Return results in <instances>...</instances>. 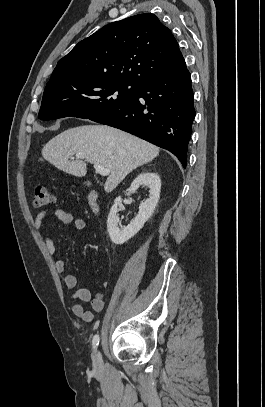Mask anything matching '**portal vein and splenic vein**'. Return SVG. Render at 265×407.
I'll use <instances>...</instances> for the list:
<instances>
[{
    "label": "portal vein and splenic vein",
    "mask_w": 265,
    "mask_h": 407,
    "mask_svg": "<svg viewBox=\"0 0 265 407\" xmlns=\"http://www.w3.org/2000/svg\"><path fill=\"white\" fill-rule=\"evenodd\" d=\"M77 159H84L83 155H76ZM94 169L96 170V172H98L101 176H107L110 174V170L103 167L100 164H94Z\"/></svg>",
    "instance_id": "18ae733b"
}]
</instances>
